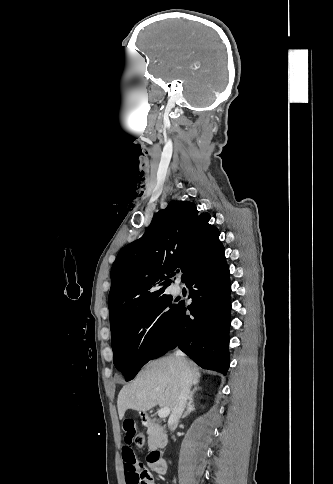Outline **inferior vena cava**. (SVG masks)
I'll use <instances>...</instances> for the list:
<instances>
[{
    "label": "inferior vena cava",
    "mask_w": 333,
    "mask_h": 484,
    "mask_svg": "<svg viewBox=\"0 0 333 484\" xmlns=\"http://www.w3.org/2000/svg\"><path fill=\"white\" fill-rule=\"evenodd\" d=\"M176 359L181 369V390L178 396L177 404L172 409V413L168 420V427L171 431H174L187 403V399L190 393V386L192 381L191 371L189 367V361L185 354L181 350H176Z\"/></svg>",
    "instance_id": "1"
}]
</instances>
